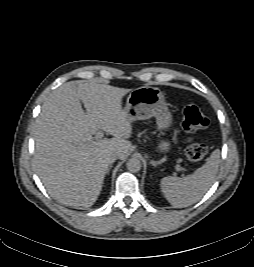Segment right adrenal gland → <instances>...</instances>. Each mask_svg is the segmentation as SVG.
<instances>
[{
	"mask_svg": "<svg viewBox=\"0 0 254 267\" xmlns=\"http://www.w3.org/2000/svg\"><path fill=\"white\" fill-rule=\"evenodd\" d=\"M112 168V165L109 166V168L107 169V175H109L110 169Z\"/></svg>",
	"mask_w": 254,
	"mask_h": 267,
	"instance_id": "right-adrenal-gland-1",
	"label": "right adrenal gland"
}]
</instances>
